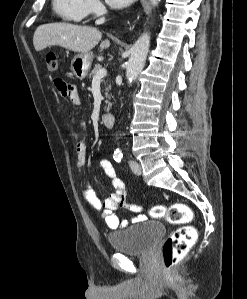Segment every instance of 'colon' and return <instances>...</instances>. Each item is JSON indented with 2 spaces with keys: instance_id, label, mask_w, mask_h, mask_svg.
I'll return each instance as SVG.
<instances>
[{
  "instance_id": "obj_1",
  "label": "colon",
  "mask_w": 247,
  "mask_h": 299,
  "mask_svg": "<svg viewBox=\"0 0 247 299\" xmlns=\"http://www.w3.org/2000/svg\"><path fill=\"white\" fill-rule=\"evenodd\" d=\"M45 63L49 72L58 70V59L54 52H48ZM150 216L163 218L172 225H180L164 241L162 246V262L166 270L178 264L196 240V230L188 225L192 219V211L183 203H173L169 206L157 205L149 210Z\"/></svg>"
}]
</instances>
